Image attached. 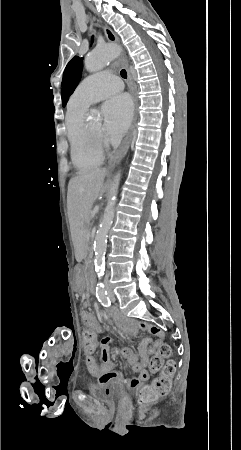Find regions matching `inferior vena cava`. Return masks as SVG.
<instances>
[{
  "label": "inferior vena cava",
  "instance_id": "inferior-vena-cava-1",
  "mask_svg": "<svg viewBox=\"0 0 241 450\" xmlns=\"http://www.w3.org/2000/svg\"><path fill=\"white\" fill-rule=\"evenodd\" d=\"M106 278H108V274H106Z\"/></svg>",
  "mask_w": 241,
  "mask_h": 450
}]
</instances>
